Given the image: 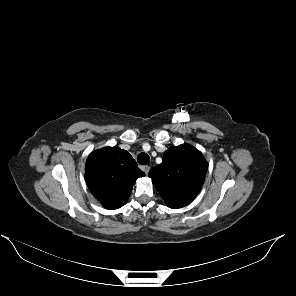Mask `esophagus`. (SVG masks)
<instances>
[{
    "mask_svg": "<svg viewBox=\"0 0 296 296\" xmlns=\"http://www.w3.org/2000/svg\"><path fill=\"white\" fill-rule=\"evenodd\" d=\"M149 170H150V167H149V166H145V167L143 168V171L145 172L146 175H148Z\"/></svg>",
    "mask_w": 296,
    "mask_h": 296,
    "instance_id": "esophagus-1",
    "label": "esophagus"
}]
</instances>
